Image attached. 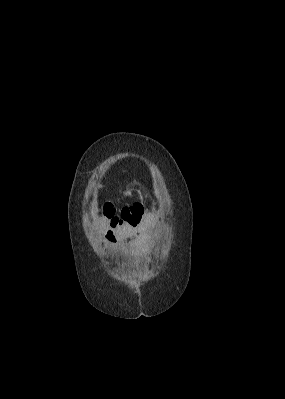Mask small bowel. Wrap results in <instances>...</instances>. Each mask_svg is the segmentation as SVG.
Listing matches in <instances>:
<instances>
[{"instance_id": "obj_1", "label": "small bowel", "mask_w": 285, "mask_h": 399, "mask_svg": "<svg viewBox=\"0 0 285 399\" xmlns=\"http://www.w3.org/2000/svg\"><path fill=\"white\" fill-rule=\"evenodd\" d=\"M144 212H145V209L141 205H138V206L134 207L133 209L126 208L125 210H123L122 216L124 218H126V220L129 222H125V224L123 226H117L114 229L115 234L122 233L124 235H128L130 233L131 227L133 225V223L129 219H131L133 216H141ZM149 213L153 215L154 211H150Z\"/></svg>"}]
</instances>
